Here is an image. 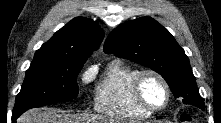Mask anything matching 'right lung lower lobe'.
Wrapping results in <instances>:
<instances>
[{
    "label": "right lung lower lobe",
    "mask_w": 221,
    "mask_h": 123,
    "mask_svg": "<svg viewBox=\"0 0 221 123\" xmlns=\"http://www.w3.org/2000/svg\"><path fill=\"white\" fill-rule=\"evenodd\" d=\"M21 114H22V112H18V113H14V112H13L12 119H13V120L17 119Z\"/></svg>",
    "instance_id": "obj_1"
}]
</instances>
